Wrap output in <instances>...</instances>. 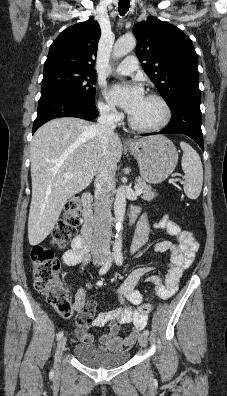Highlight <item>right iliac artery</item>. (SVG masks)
Returning <instances> with one entry per match:
<instances>
[{
    "label": "right iliac artery",
    "mask_w": 227,
    "mask_h": 396,
    "mask_svg": "<svg viewBox=\"0 0 227 396\" xmlns=\"http://www.w3.org/2000/svg\"><path fill=\"white\" fill-rule=\"evenodd\" d=\"M114 258H115V254H113V255L106 261V263L100 268V270H99V274H100V275L105 274V273L110 269V267H111V265H112V262H113ZM62 336H63V332L61 331V332H59V333L57 334V339H58V340L61 339Z\"/></svg>",
    "instance_id": "obj_1"
}]
</instances>
